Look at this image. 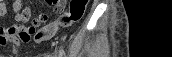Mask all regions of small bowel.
Returning <instances> with one entry per match:
<instances>
[{"label":"small bowel","mask_w":172,"mask_h":57,"mask_svg":"<svg viewBox=\"0 0 172 57\" xmlns=\"http://www.w3.org/2000/svg\"><path fill=\"white\" fill-rule=\"evenodd\" d=\"M47 2L54 4L52 0H47ZM11 8L13 12V22L4 19L9 13V8L5 1L0 0V19H4L0 21V47L18 48L22 44L30 42L32 39L36 43L48 40L39 36L47 26L40 27L48 20L47 14H39L29 25H26L25 23L28 22L31 17V10L29 8H23L22 0H15ZM25 9L27 13L23 14ZM54 9L57 12L61 11L62 5L55 4Z\"/></svg>","instance_id":"small-bowel-1"}]
</instances>
